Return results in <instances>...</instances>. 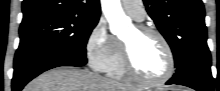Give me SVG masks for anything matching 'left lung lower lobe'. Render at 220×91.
<instances>
[{"label":"left lung lower lobe","instance_id":"1","mask_svg":"<svg viewBox=\"0 0 220 91\" xmlns=\"http://www.w3.org/2000/svg\"><path fill=\"white\" fill-rule=\"evenodd\" d=\"M210 68L211 59L204 60L181 72H176L166 84L184 85L197 91H214V78Z\"/></svg>","mask_w":220,"mask_h":91}]
</instances>
